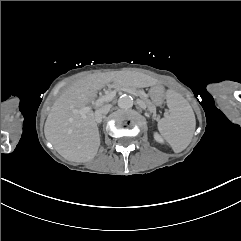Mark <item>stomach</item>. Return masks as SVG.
<instances>
[{"instance_id":"stomach-1","label":"stomach","mask_w":241,"mask_h":241,"mask_svg":"<svg viewBox=\"0 0 241 241\" xmlns=\"http://www.w3.org/2000/svg\"><path fill=\"white\" fill-rule=\"evenodd\" d=\"M149 96L155 105H161L164 101L165 91L161 85H156L149 90Z\"/></svg>"}]
</instances>
